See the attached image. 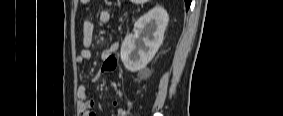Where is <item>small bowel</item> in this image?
Here are the masks:
<instances>
[{
	"label": "small bowel",
	"mask_w": 283,
	"mask_h": 116,
	"mask_svg": "<svg viewBox=\"0 0 283 116\" xmlns=\"http://www.w3.org/2000/svg\"><path fill=\"white\" fill-rule=\"evenodd\" d=\"M81 3L84 5H88L90 3L89 0H81ZM98 20L102 24H106L110 20V13L107 10H102L99 13ZM93 31L94 26L89 17H87L84 21L83 25V32H82V38H81V45L82 49L80 54L77 56L76 61L78 64H84L88 62L93 55L92 52V38H93ZM119 48V43L114 42L109 47H107L101 57L103 59V64L101 67L102 72H110L115 69L116 67V59L114 56H111L112 53L116 52ZM77 96L79 98V110L80 114L84 116H95V114L92 112V108L95 106V99L88 98L87 90L85 86H79L77 90ZM112 105L114 107H117L118 102L117 100H113ZM112 115L114 116H126L128 115V111L125 109L117 108L112 112Z\"/></svg>",
	"instance_id": "obj_1"
}]
</instances>
